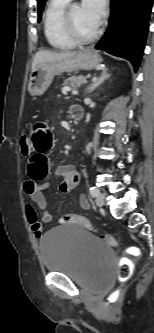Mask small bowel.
I'll return each instance as SVG.
<instances>
[{
  "label": "small bowel",
  "mask_w": 154,
  "mask_h": 333,
  "mask_svg": "<svg viewBox=\"0 0 154 333\" xmlns=\"http://www.w3.org/2000/svg\"><path fill=\"white\" fill-rule=\"evenodd\" d=\"M29 134L32 153L27 163L29 178L24 182L23 189L41 210L40 218H38L36 211L31 206L27 207V218L31 229L35 237L40 238L42 236V223L52 221V214L46 199L49 184L42 181L47 177L49 171L48 152L53 145V135L50 127L44 122L35 123ZM55 173L62 178L60 190L63 193H69L79 185V174L74 166H59ZM79 206L85 210L89 208V201L85 195L79 196Z\"/></svg>",
  "instance_id": "1"
}]
</instances>
